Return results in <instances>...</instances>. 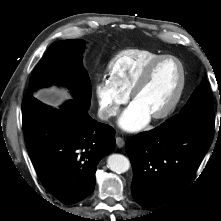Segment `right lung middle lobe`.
Masks as SVG:
<instances>
[{"label":"right lung middle lobe","mask_w":221,"mask_h":221,"mask_svg":"<svg viewBox=\"0 0 221 221\" xmlns=\"http://www.w3.org/2000/svg\"><path fill=\"white\" fill-rule=\"evenodd\" d=\"M83 43L81 39L52 43L30 77L29 95L50 84H68L75 99L90 106L91 84L82 66Z\"/></svg>","instance_id":"1"}]
</instances>
